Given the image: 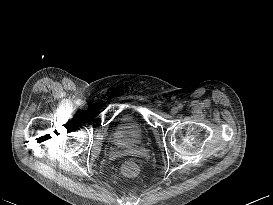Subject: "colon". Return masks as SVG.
I'll list each match as a JSON object with an SVG mask.
<instances>
[{
	"label": "colon",
	"instance_id": "5ec220e1",
	"mask_svg": "<svg viewBox=\"0 0 273 205\" xmlns=\"http://www.w3.org/2000/svg\"><path fill=\"white\" fill-rule=\"evenodd\" d=\"M121 173L126 178H133L138 173V167L136 163L132 161L125 162L121 167Z\"/></svg>",
	"mask_w": 273,
	"mask_h": 205
}]
</instances>
